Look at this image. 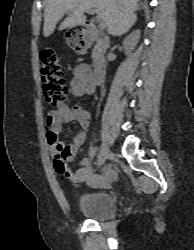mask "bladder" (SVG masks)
I'll return each mask as SVG.
<instances>
[{
    "label": "bladder",
    "mask_w": 194,
    "mask_h": 250,
    "mask_svg": "<svg viewBox=\"0 0 194 250\" xmlns=\"http://www.w3.org/2000/svg\"><path fill=\"white\" fill-rule=\"evenodd\" d=\"M78 210L91 219L103 220L114 215L116 202L110 194L91 192L80 197Z\"/></svg>",
    "instance_id": "31cf9c89"
}]
</instances>
